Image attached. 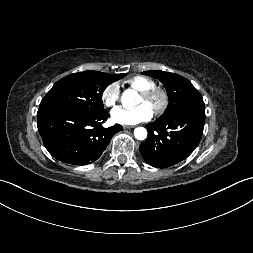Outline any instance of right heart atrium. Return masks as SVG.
Wrapping results in <instances>:
<instances>
[{"mask_svg":"<svg viewBox=\"0 0 253 253\" xmlns=\"http://www.w3.org/2000/svg\"><path fill=\"white\" fill-rule=\"evenodd\" d=\"M101 99L106 107H115L120 100V86L118 83L113 82L105 86L101 93Z\"/></svg>","mask_w":253,"mask_h":253,"instance_id":"1","label":"right heart atrium"}]
</instances>
